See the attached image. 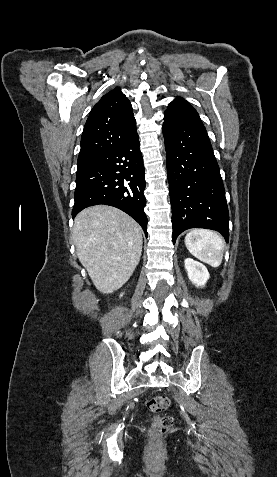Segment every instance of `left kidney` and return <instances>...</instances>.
<instances>
[{
    "label": "left kidney",
    "mask_w": 277,
    "mask_h": 477,
    "mask_svg": "<svg viewBox=\"0 0 277 477\" xmlns=\"http://www.w3.org/2000/svg\"><path fill=\"white\" fill-rule=\"evenodd\" d=\"M184 263L189 280L197 287H203L210 276L207 268L192 258H186Z\"/></svg>",
    "instance_id": "left-kidney-1"
}]
</instances>
